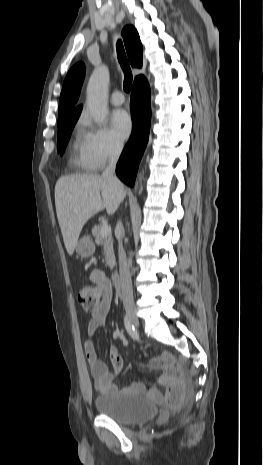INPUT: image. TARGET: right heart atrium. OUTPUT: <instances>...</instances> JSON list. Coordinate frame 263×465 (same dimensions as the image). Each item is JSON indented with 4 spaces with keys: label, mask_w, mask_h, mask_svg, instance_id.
Returning <instances> with one entry per match:
<instances>
[{
    "label": "right heart atrium",
    "mask_w": 263,
    "mask_h": 465,
    "mask_svg": "<svg viewBox=\"0 0 263 465\" xmlns=\"http://www.w3.org/2000/svg\"><path fill=\"white\" fill-rule=\"evenodd\" d=\"M86 131L83 134L85 156L92 169H100L115 158L123 144L113 132L105 127L92 126L84 121Z\"/></svg>",
    "instance_id": "right-heart-atrium-1"
}]
</instances>
